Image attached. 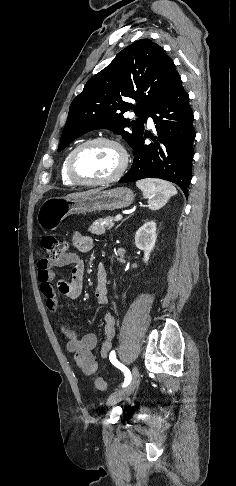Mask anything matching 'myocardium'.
<instances>
[{"mask_svg": "<svg viewBox=\"0 0 236 486\" xmlns=\"http://www.w3.org/2000/svg\"><path fill=\"white\" fill-rule=\"evenodd\" d=\"M99 143H105L114 146L116 149L121 154V164L119 169L111 176L103 179H97V180H88L80 177L76 171H75V159L77 155L86 147H89L94 144H99ZM129 163V157L126 149L124 146L117 140L112 139V138H107V137H97L93 138L90 140H87L78 146H76L70 153L68 159H67V164H66V172L68 177L72 182L78 185H83V186H99V185H106L113 183L117 180H119L126 172L127 167Z\"/></svg>", "mask_w": 236, "mask_h": 486, "instance_id": "f54148a6", "label": "myocardium"}]
</instances>
